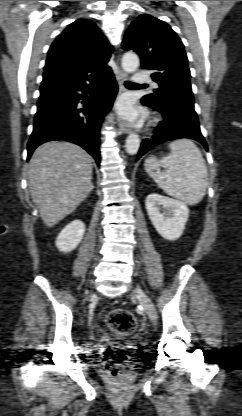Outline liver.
Wrapping results in <instances>:
<instances>
[{
  "mask_svg": "<svg viewBox=\"0 0 242 416\" xmlns=\"http://www.w3.org/2000/svg\"><path fill=\"white\" fill-rule=\"evenodd\" d=\"M28 183L42 221L53 227L93 189L92 158L75 144L47 142L30 159Z\"/></svg>",
  "mask_w": 242,
  "mask_h": 416,
  "instance_id": "6515ba94",
  "label": "liver"
}]
</instances>
